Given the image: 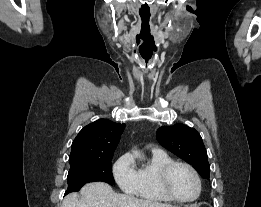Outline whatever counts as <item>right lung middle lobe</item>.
Segmentation results:
<instances>
[{
    "mask_svg": "<svg viewBox=\"0 0 261 207\" xmlns=\"http://www.w3.org/2000/svg\"><path fill=\"white\" fill-rule=\"evenodd\" d=\"M111 160L112 157L70 164L67 176L68 189L65 195L70 192L79 191L83 185L90 182L102 181L114 185L115 181L112 175Z\"/></svg>",
    "mask_w": 261,
    "mask_h": 207,
    "instance_id": "obj_1",
    "label": "right lung middle lobe"
}]
</instances>
